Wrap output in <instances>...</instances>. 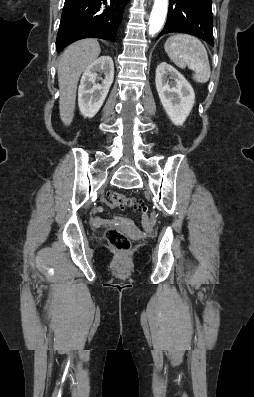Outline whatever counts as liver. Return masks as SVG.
I'll return each mask as SVG.
<instances>
[{"mask_svg":"<svg viewBox=\"0 0 254 397\" xmlns=\"http://www.w3.org/2000/svg\"><path fill=\"white\" fill-rule=\"evenodd\" d=\"M100 53L97 40L84 39L68 46L60 56L57 65L60 89L59 112L66 126H69L73 120L79 78Z\"/></svg>","mask_w":254,"mask_h":397,"instance_id":"obj_1","label":"liver"}]
</instances>
